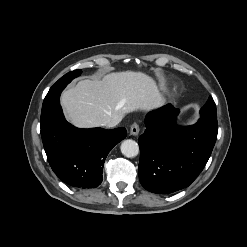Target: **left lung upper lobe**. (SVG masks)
<instances>
[{
    "label": "left lung upper lobe",
    "mask_w": 247,
    "mask_h": 247,
    "mask_svg": "<svg viewBox=\"0 0 247 247\" xmlns=\"http://www.w3.org/2000/svg\"><path fill=\"white\" fill-rule=\"evenodd\" d=\"M198 122L212 128H218L216 105L212 97H209L206 104L200 110Z\"/></svg>",
    "instance_id": "left-lung-upper-lobe-1"
}]
</instances>
